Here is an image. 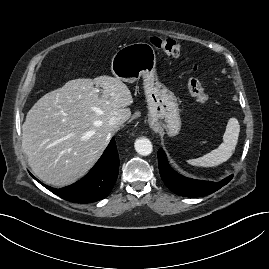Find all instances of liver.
Wrapping results in <instances>:
<instances>
[{"instance_id": "6515ba94", "label": "liver", "mask_w": 269, "mask_h": 269, "mask_svg": "<svg viewBox=\"0 0 269 269\" xmlns=\"http://www.w3.org/2000/svg\"><path fill=\"white\" fill-rule=\"evenodd\" d=\"M132 103L126 84L107 75L70 80L42 96L22 125V147L32 171L55 187L83 177L119 128L108 121L119 116L125 123Z\"/></svg>"}]
</instances>
